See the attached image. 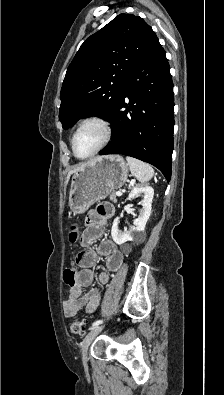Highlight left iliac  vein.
Returning a JSON list of instances; mask_svg holds the SVG:
<instances>
[{
    "instance_id": "4c4485c4",
    "label": "left iliac vein",
    "mask_w": 224,
    "mask_h": 395,
    "mask_svg": "<svg viewBox=\"0 0 224 395\" xmlns=\"http://www.w3.org/2000/svg\"><path fill=\"white\" fill-rule=\"evenodd\" d=\"M103 329L102 325H98L93 327L89 333L85 336L82 345H81V350H82V355L83 359L87 361L88 359V348L92 341L95 339V337L99 334V332Z\"/></svg>"
}]
</instances>
